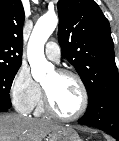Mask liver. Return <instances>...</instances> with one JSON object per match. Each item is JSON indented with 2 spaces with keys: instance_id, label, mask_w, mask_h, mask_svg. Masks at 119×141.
I'll return each mask as SVG.
<instances>
[{
  "instance_id": "1",
  "label": "liver",
  "mask_w": 119,
  "mask_h": 141,
  "mask_svg": "<svg viewBox=\"0 0 119 141\" xmlns=\"http://www.w3.org/2000/svg\"><path fill=\"white\" fill-rule=\"evenodd\" d=\"M61 126L43 119L21 115H0V141H42Z\"/></svg>"
}]
</instances>
